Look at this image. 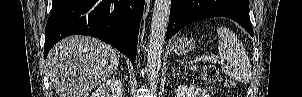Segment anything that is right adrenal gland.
Masks as SVG:
<instances>
[{"instance_id":"right-adrenal-gland-1","label":"right adrenal gland","mask_w":302,"mask_h":97,"mask_svg":"<svg viewBox=\"0 0 302 97\" xmlns=\"http://www.w3.org/2000/svg\"><path fill=\"white\" fill-rule=\"evenodd\" d=\"M121 70H123V66H121Z\"/></svg>"}]
</instances>
